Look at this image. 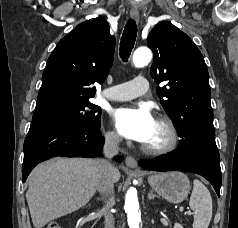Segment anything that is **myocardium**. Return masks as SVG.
Segmentation results:
<instances>
[{"label": "myocardium", "mask_w": 238, "mask_h": 228, "mask_svg": "<svg viewBox=\"0 0 238 228\" xmlns=\"http://www.w3.org/2000/svg\"><path fill=\"white\" fill-rule=\"evenodd\" d=\"M160 126H162L166 132V141L159 146H148L143 144L141 149L144 153L149 155H163L173 151L178 144V132L174 123L165 116H159L156 120Z\"/></svg>", "instance_id": "myocardium-1"}]
</instances>
